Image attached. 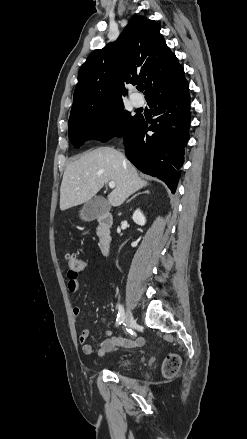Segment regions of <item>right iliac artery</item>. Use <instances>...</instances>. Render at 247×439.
I'll return each mask as SVG.
<instances>
[{"label":"right iliac artery","mask_w":247,"mask_h":439,"mask_svg":"<svg viewBox=\"0 0 247 439\" xmlns=\"http://www.w3.org/2000/svg\"><path fill=\"white\" fill-rule=\"evenodd\" d=\"M125 320L124 308L122 305H118V315L116 319V327L119 326Z\"/></svg>","instance_id":"obj_1"}]
</instances>
